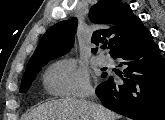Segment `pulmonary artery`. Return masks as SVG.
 I'll return each mask as SVG.
<instances>
[{"instance_id":"pulmonary-artery-1","label":"pulmonary artery","mask_w":165,"mask_h":120,"mask_svg":"<svg viewBox=\"0 0 165 120\" xmlns=\"http://www.w3.org/2000/svg\"><path fill=\"white\" fill-rule=\"evenodd\" d=\"M97 62L99 65H102V66H107V65H110L111 64V60L108 56H105V55H98L97 56Z\"/></svg>"}]
</instances>
